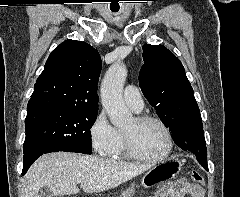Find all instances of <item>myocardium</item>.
Returning a JSON list of instances; mask_svg holds the SVG:
<instances>
[{"label": "myocardium", "mask_w": 240, "mask_h": 197, "mask_svg": "<svg viewBox=\"0 0 240 197\" xmlns=\"http://www.w3.org/2000/svg\"><path fill=\"white\" fill-rule=\"evenodd\" d=\"M134 119L137 123H145L148 121H153L158 123L166 133L168 146L166 151L162 155L158 157H149L143 154L142 152H140L138 148L135 146L131 135L123 131L125 147L129 155L134 159L148 162V163H157L167 159L172 154L174 149V138L169 125L160 117L152 114H140L136 116Z\"/></svg>", "instance_id": "1"}]
</instances>
